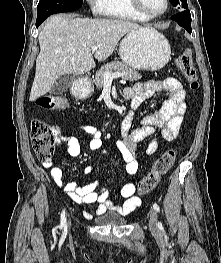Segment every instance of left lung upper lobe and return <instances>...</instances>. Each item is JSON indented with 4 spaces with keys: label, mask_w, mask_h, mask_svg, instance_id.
I'll return each mask as SVG.
<instances>
[{
    "label": "left lung upper lobe",
    "mask_w": 221,
    "mask_h": 263,
    "mask_svg": "<svg viewBox=\"0 0 221 263\" xmlns=\"http://www.w3.org/2000/svg\"><path fill=\"white\" fill-rule=\"evenodd\" d=\"M171 4L178 8H188L187 0H170Z\"/></svg>",
    "instance_id": "left-lung-upper-lobe-1"
}]
</instances>
